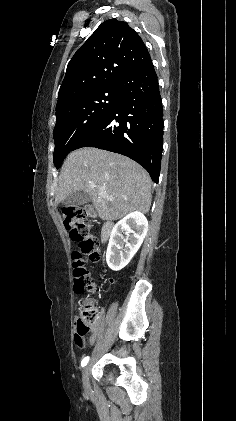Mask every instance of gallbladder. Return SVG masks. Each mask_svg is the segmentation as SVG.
<instances>
[{
	"label": "gallbladder",
	"instance_id": "bac80fb5",
	"mask_svg": "<svg viewBox=\"0 0 236 421\" xmlns=\"http://www.w3.org/2000/svg\"><path fill=\"white\" fill-rule=\"evenodd\" d=\"M62 202L63 204H70V206H77V204L90 202V196L87 192H85V190H76V192H72V194L66 196Z\"/></svg>",
	"mask_w": 236,
	"mask_h": 421
}]
</instances>
